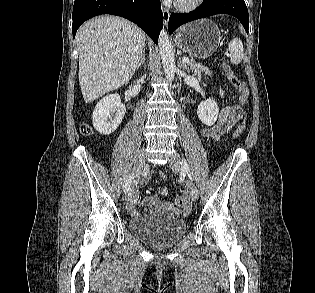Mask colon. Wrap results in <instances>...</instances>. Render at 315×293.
<instances>
[{
    "label": "colon",
    "mask_w": 315,
    "mask_h": 293,
    "mask_svg": "<svg viewBox=\"0 0 315 293\" xmlns=\"http://www.w3.org/2000/svg\"><path fill=\"white\" fill-rule=\"evenodd\" d=\"M225 71H226V75H227L229 82L237 90V92L239 94L240 106L243 107L245 105L247 99H248V96H249L248 87H247L245 82L240 80L235 75V73L230 69V67L228 65H225ZM243 116H246V113H243ZM238 123H239V125L235 129L234 137H238L242 133V131L244 129L243 125L246 123V120L244 118H240L238 120ZM81 130H82V133L85 135H88L91 133V128L88 125H83ZM175 203L179 207H185L187 205V200H186V198L179 196L175 199Z\"/></svg>",
    "instance_id": "colon-1"
}]
</instances>
